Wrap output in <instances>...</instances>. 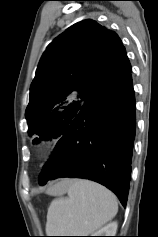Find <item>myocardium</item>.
<instances>
[{
  "label": "myocardium",
  "instance_id": "1",
  "mask_svg": "<svg viewBox=\"0 0 158 237\" xmlns=\"http://www.w3.org/2000/svg\"><path fill=\"white\" fill-rule=\"evenodd\" d=\"M53 150V146L50 142H45L37 147L36 154L39 159L47 157Z\"/></svg>",
  "mask_w": 158,
  "mask_h": 237
}]
</instances>
